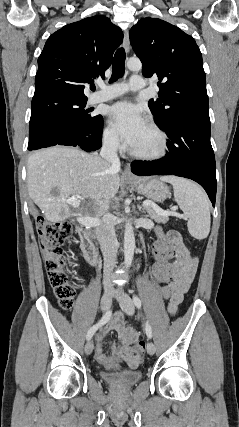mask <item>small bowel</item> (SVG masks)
<instances>
[{"label":"small bowel","instance_id":"small-bowel-1","mask_svg":"<svg viewBox=\"0 0 239 427\" xmlns=\"http://www.w3.org/2000/svg\"><path fill=\"white\" fill-rule=\"evenodd\" d=\"M168 239L170 241L168 252L171 253V258H174V262L171 267L172 275L170 282H168L167 296L163 298L169 301L168 311L173 315L176 313L184 298V294L189 289V286L195 277L198 267V259L189 252L179 232L170 230ZM111 331H115L118 334L120 344L113 345L111 352L107 354L104 351L103 342L107 333ZM137 338L138 334L136 330L125 324L122 312H116L107 324L103 333L98 334L96 337V360L106 369H119L121 351L124 348L133 345Z\"/></svg>","mask_w":239,"mask_h":427}]
</instances>
